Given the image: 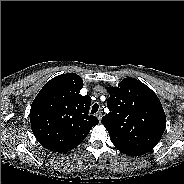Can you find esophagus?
Segmentation results:
<instances>
[{"mask_svg":"<svg viewBox=\"0 0 184 184\" xmlns=\"http://www.w3.org/2000/svg\"><path fill=\"white\" fill-rule=\"evenodd\" d=\"M102 111H99L97 114H96V116H97V118L99 119V121H101V119H102Z\"/></svg>","mask_w":184,"mask_h":184,"instance_id":"34e87169","label":"esophagus"}]
</instances>
